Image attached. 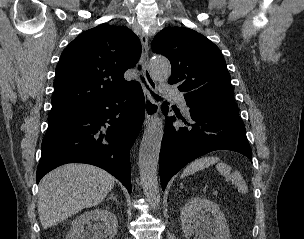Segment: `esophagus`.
<instances>
[{
	"label": "esophagus",
	"instance_id": "1",
	"mask_svg": "<svg viewBox=\"0 0 304 239\" xmlns=\"http://www.w3.org/2000/svg\"><path fill=\"white\" fill-rule=\"evenodd\" d=\"M142 44V71L145 79V85L143 86V93L145 98V120L144 126L150 124V122L156 117L159 112V103L154 100L152 97L151 91L155 92L157 90V85L153 79L149 67V45H148V36L144 33L140 36Z\"/></svg>",
	"mask_w": 304,
	"mask_h": 239
}]
</instances>
